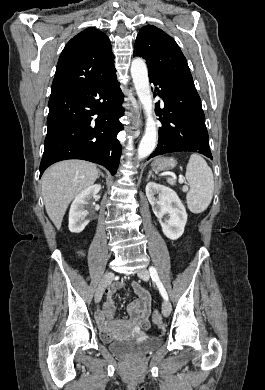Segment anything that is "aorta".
Masks as SVG:
<instances>
[{
  "label": "aorta",
  "instance_id": "1",
  "mask_svg": "<svg viewBox=\"0 0 265 390\" xmlns=\"http://www.w3.org/2000/svg\"><path fill=\"white\" fill-rule=\"evenodd\" d=\"M131 75L136 93L146 115L145 132L138 147V159L141 160L153 152L157 141V125L153 118V104L149 86L148 70L146 63L142 58H135L132 61Z\"/></svg>",
  "mask_w": 265,
  "mask_h": 390
}]
</instances>
